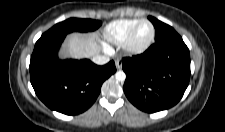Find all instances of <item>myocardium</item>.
<instances>
[{"mask_svg": "<svg viewBox=\"0 0 225 132\" xmlns=\"http://www.w3.org/2000/svg\"><path fill=\"white\" fill-rule=\"evenodd\" d=\"M142 23H147L150 25L151 34L148 37V39H146L145 41H143L141 43H137L135 41V34H136L138 27ZM154 38H155V28H154L153 24L147 19H140L129 30L128 34L126 35V37L122 43V46H123L124 50L130 54H139V53H142L143 51H145L152 44V42L154 41Z\"/></svg>", "mask_w": 225, "mask_h": 132, "instance_id": "1", "label": "myocardium"}]
</instances>
